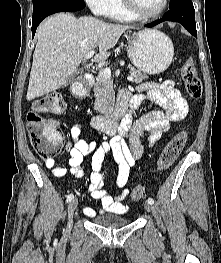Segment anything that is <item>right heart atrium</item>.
Here are the masks:
<instances>
[{"label": "right heart atrium", "instance_id": "d8ad5b80", "mask_svg": "<svg viewBox=\"0 0 221 263\" xmlns=\"http://www.w3.org/2000/svg\"><path fill=\"white\" fill-rule=\"evenodd\" d=\"M113 0H85L90 10L98 16H106L109 13Z\"/></svg>", "mask_w": 221, "mask_h": 263}]
</instances>
